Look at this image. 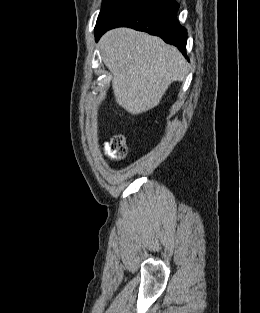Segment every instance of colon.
Listing matches in <instances>:
<instances>
[{
	"label": "colon",
	"instance_id": "colon-1",
	"mask_svg": "<svg viewBox=\"0 0 260 313\" xmlns=\"http://www.w3.org/2000/svg\"><path fill=\"white\" fill-rule=\"evenodd\" d=\"M105 151L112 161H119L125 157L127 147L123 135H115L110 142L106 144Z\"/></svg>",
	"mask_w": 260,
	"mask_h": 313
}]
</instances>
